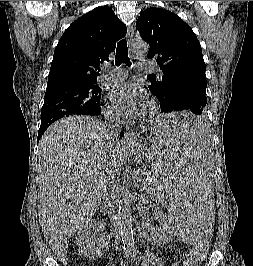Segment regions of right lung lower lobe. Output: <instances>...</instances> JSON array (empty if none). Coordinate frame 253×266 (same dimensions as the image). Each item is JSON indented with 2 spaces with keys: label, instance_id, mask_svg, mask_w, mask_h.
Here are the masks:
<instances>
[{
  "label": "right lung lower lobe",
  "instance_id": "98d812e1",
  "mask_svg": "<svg viewBox=\"0 0 253 266\" xmlns=\"http://www.w3.org/2000/svg\"><path fill=\"white\" fill-rule=\"evenodd\" d=\"M101 114V109L97 112V113H86V115H93V116H99ZM48 128V126H41L38 132V139L37 141H39V139L41 138V136L43 135V133L45 132V130ZM121 136L124 135V133L121 131L120 133Z\"/></svg>",
  "mask_w": 253,
  "mask_h": 266
}]
</instances>
